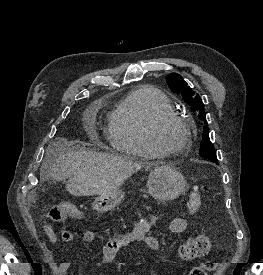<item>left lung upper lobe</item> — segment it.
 Listing matches in <instances>:
<instances>
[{
	"label": "left lung upper lobe",
	"instance_id": "obj_1",
	"mask_svg": "<svg viewBox=\"0 0 263 275\" xmlns=\"http://www.w3.org/2000/svg\"><path fill=\"white\" fill-rule=\"evenodd\" d=\"M166 82L174 93L182 95L183 100L190 106L191 110L196 112L198 118L202 119L205 124H207L203 102L199 96L194 94L193 90L187 86L183 78L177 73H172L166 77ZM199 154L201 157L218 164L214 146L209 139V129L206 126L203 130Z\"/></svg>",
	"mask_w": 263,
	"mask_h": 275
}]
</instances>
